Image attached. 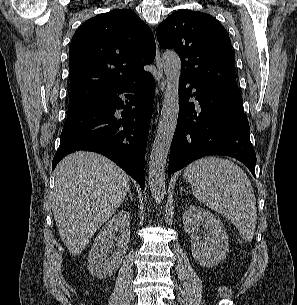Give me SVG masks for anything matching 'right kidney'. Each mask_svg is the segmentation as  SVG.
<instances>
[{
    "mask_svg": "<svg viewBox=\"0 0 297 305\" xmlns=\"http://www.w3.org/2000/svg\"><path fill=\"white\" fill-rule=\"evenodd\" d=\"M130 216L127 211L115 214L97 235L88 257V269L97 278L114 274L120 267L130 241ZM117 237V249L113 251V240ZM111 254V255H110Z\"/></svg>",
    "mask_w": 297,
    "mask_h": 305,
    "instance_id": "right-kidney-1",
    "label": "right kidney"
}]
</instances>
